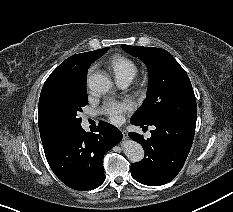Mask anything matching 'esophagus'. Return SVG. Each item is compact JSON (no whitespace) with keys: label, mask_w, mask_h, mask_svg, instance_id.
<instances>
[{"label":"esophagus","mask_w":233,"mask_h":212,"mask_svg":"<svg viewBox=\"0 0 233 212\" xmlns=\"http://www.w3.org/2000/svg\"><path fill=\"white\" fill-rule=\"evenodd\" d=\"M121 132H122L123 138H124V139H127V138H128V133H127V131L124 130V129H122Z\"/></svg>","instance_id":"obj_1"}]
</instances>
